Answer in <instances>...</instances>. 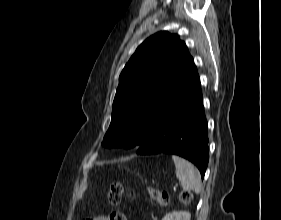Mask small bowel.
<instances>
[{
	"instance_id": "1",
	"label": "small bowel",
	"mask_w": 281,
	"mask_h": 220,
	"mask_svg": "<svg viewBox=\"0 0 281 220\" xmlns=\"http://www.w3.org/2000/svg\"><path fill=\"white\" fill-rule=\"evenodd\" d=\"M93 220H108V217H106V216H98V217H95Z\"/></svg>"
}]
</instances>
